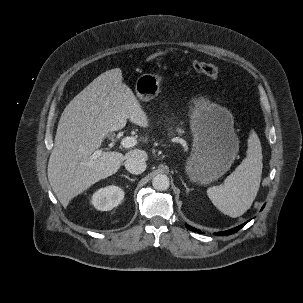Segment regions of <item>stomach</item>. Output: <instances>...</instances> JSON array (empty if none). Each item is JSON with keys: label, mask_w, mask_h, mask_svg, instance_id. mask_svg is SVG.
Here are the masks:
<instances>
[{"label": "stomach", "mask_w": 303, "mask_h": 303, "mask_svg": "<svg viewBox=\"0 0 303 303\" xmlns=\"http://www.w3.org/2000/svg\"><path fill=\"white\" fill-rule=\"evenodd\" d=\"M162 79L155 73L138 77L137 97L146 102L155 98ZM190 128L193 145L186 162V173L193 182L209 184L229 170L238 154L234 117L226 108L200 96L193 99L190 107Z\"/></svg>", "instance_id": "0dacf381"}]
</instances>
